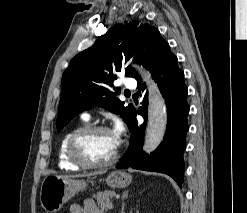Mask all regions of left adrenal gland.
I'll return each mask as SVG.
<instances>
[{"label":"left adrenal gland","instance_id":"left-adrenal-gland-1","mask_svg":"<svg viewBox=\"0 0 247 213\" xmlns=\"http://www.w3.org/2000/svg\"><path fill=\"white\" fill-rule=\"evenodd\" d=\"M127 197H128V190L125 191V192L123 193L122 199L124 200V199H126ZM124 206H125V203H123V208H124Z\"/></svg>","mask_w":247,"mask_h":213}]
</instances>
